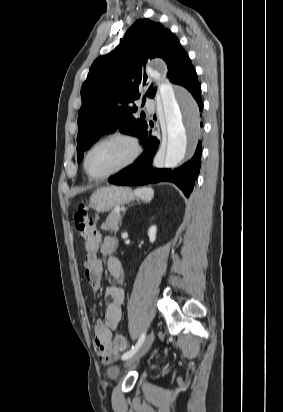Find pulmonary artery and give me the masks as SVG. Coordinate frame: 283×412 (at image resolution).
<instances>
[{"label":"pulmonary artery","mask_w":283,"mask_h":412,"mask_svg":"<svg viewBox=\"0 0 283 412\" xmlns=\"http://www.w3.org/2000/svg\"><path fill=\"white\" fill-rule=\"evenodd\" d=\"M146 101H147V103H149V102H150V100H149V99H147Z\"/></svg>","instance_id":"1"}]
</instances>
